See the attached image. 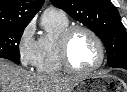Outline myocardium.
<instances>
[{"label": "myocardium", "instance_id": "myocardium-1", "mask_svg": "<svg viewBox=\"0 0 127 92\" xmlns=\"http://www.w3.org/2000/svg\"><path fill=\"white\" fill-rule=\"evenodd\" d=\"M80 31H83L89 34L93 38L95 43L97 44V47L99 50L98 62L92 67L85 68V69H79L75 67L70 59L71 41L74 35ZM59 56H60V61L62 63V66L64 67L65 70L75 74H87L99 69L103 65L106 54H105V47L101 38L93 29L85 25H71L61 35V38L59 41Z\"/></svg>", "mask_w": 127, "mask_h": 92}]
</instances>
